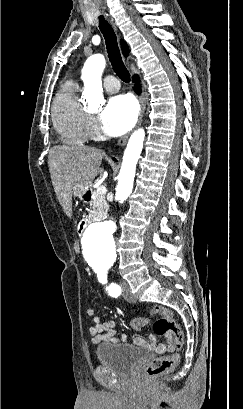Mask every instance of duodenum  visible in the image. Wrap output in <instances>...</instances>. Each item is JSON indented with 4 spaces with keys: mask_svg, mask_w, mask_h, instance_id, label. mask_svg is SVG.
I'll return each instance as SVG.
<instances>
[{
    "mask_svg": "<svg viewBox=\"0 0 243 409\" xmlns=\"http://www.w3.org/2000/svg\"><path fill=\"white\" fill-rule=\"evenodd\" d=\"M86 200L90 199V193H87L85 196ZM89 224V220H83L79 225V232H82Z\"/></svg>",
    "mask_w": 243,
    "mask_h": 409,
    "instance_id": "410a0bca",
    "label": "duodenum"
}]
</instances>
